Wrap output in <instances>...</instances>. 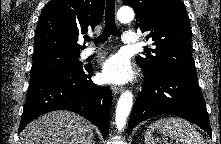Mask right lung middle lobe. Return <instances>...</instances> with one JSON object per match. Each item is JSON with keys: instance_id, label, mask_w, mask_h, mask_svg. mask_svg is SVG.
<instances>
[{"instance_id": "obj_1", "label": "right lung middle lobe", "mask_w": 221, "mask_h": 144, "mask_svg": "<svg viewBox=\"0 0 221 144\" xmlns=\"http://www.w3.org/2000/svg\"><path fill=\"white\" fill-rule=\"evenodd\" d=\"M79 52L42 51L34 53L30 82H34L52 72L81 67Z\"/></svg>"}]
</instances>
